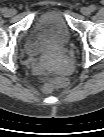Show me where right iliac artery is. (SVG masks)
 <instances>
[{"label": "right iliac artery", "instance_id": "82829eb1", "mask_svg": "<svg viewBox=\"0 0 104 137\" xmlns=\"http://www.w3.org/2000/svg\"><path fill=\"white\" fill-rule=\"evenodd\" d=\"M2 12L5 13V15L8 13V9L7 8H3Z\"/></svg>", "mask_w": 104, "mask_h": 137}]
</instances>
